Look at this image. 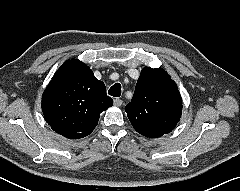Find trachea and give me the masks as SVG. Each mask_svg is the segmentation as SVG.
Masks as SVG:
<instances>
[{"mask_svg":"<svg viewBox=\"0 0 240 191\" xmlns=\"http://www.w3.org/2000/svg\"><path fill=\"white\" fill-rule=\"evenodd\" d=\"M108 94L113 97H119L121 95V85L119 83L114 84L109 89Z\"/></svg>","mask_w":240,"mask_h":191,"instance_id":"obj_1","label":"trachea"}]
</instances>
